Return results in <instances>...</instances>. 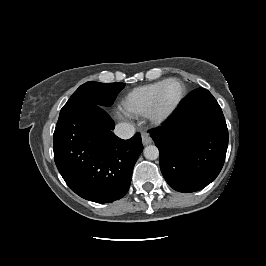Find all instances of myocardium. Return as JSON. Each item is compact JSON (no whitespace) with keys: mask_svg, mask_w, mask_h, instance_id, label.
Listing matches in <instances>:
<instances>
[{"mask_svg":"<svg viewBox=\"0 0 266 266\" xmlns=\"http://www.w3.org/2000/svg\"><path fill=\"white\" fill-rule=\"evenodd\" d=\"M172 82H176L180 85L181 93L176 103L168 111L162 112L160 107V98L166 86ZM186 93H187L186 86L181 79L173 77L165 80L164 83L161 85V87L158 89L153 99V102L150 106V109L148 111L147 117L149 121L155 125H160L168 121L182 104L186 96Z\"/></svg>","mask_w":266,"mask_h":266,"instance_id":"obj_1","label":"myocardium"}]
</instances>
